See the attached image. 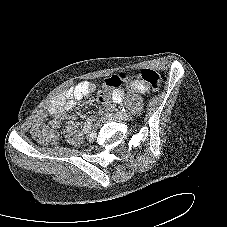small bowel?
Instances as JSON below:
<instances>
[{"label":"small bowel","mask_w":227,"mask_h":227,"mask_svg":"<svg viewBox=\"0 0 227 227\" xmlns=\"http://www.w3.org/2000/svg\"><path fill=\"white\" fill-rule=\"evenodd\" d=\"M125 87L140 94H145L149 91L148 86L144 82L131 77L127 78ZM95 90L96 84L94 82L82 81L52 97L46 108L39 110L35 115L32 125L33 134L36 132H47L49 134V138H53L54 132L47 131L43 126L46 113L53 117L50 121V127L52 130H56L60 126V121L69 117L68 112L73 109L77 101L93 93ZM124 95V87L116 88L112 92L111 100L113 103H120L123 100Z\"/></svg>","instance_id":"obj_1"}]
</instances>
